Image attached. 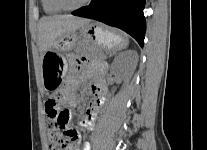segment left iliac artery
<instances>
[{
    "mask_svg": "<svg viewBox=\"0 0 207 150\" xmlns=\"http://www.w3.org/2000/svg\"><path fill=\"white\" fill-rule=\"evenodd\" d=\"M84 150H90V144L88 142L85 143Z\"/></svg>",
    "mask_w": 207,
    "mask_h": 150,
    "instance_id": "obj_1",
    "label": "left iliac artery"
}]
</instances>
